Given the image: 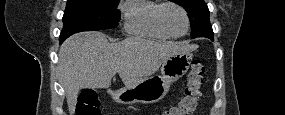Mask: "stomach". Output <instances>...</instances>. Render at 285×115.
Masks as SVG:
<instances>
[{
    "label": "stomach",
    "mask_w": 285,
    "mask_h": 115,
    "mask_svg": "<svg viewBox=\"0 0 285 115\" xmlns=\"http://www.w3.org/2000/svg\"><path fill=\"white\" fill-rule=\"evenodd\" d=\"M191 60L189 53L176 54L163 62L161 76H151L133 87L108 90V93L120 104L156 103L167 95L173 82L186 74Z\"/></svg>",
    "instance_id": "obj_1"
}]
</instances>
